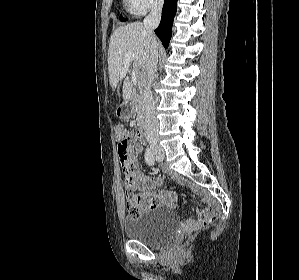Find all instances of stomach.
Masks as SVG:
<instances>
[{
	"label": "stomach",
	"instance_id": "obj_1",
	"mask_svg": "<svg viewBox=\"0 0 299 280\" xmlns=\"http://www.w3.org/2000/svg\"><path fill=\"white\" fill-rule=\"evenodd\" d=\"M118 113H119L121 118L127 119L133 114V109L131 108L130 105H126L125 107H121L118 110Z\"/></svg>",
	"mask_w": 299,
	"mask_h": 280
}]
</instances>
